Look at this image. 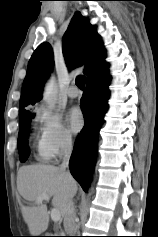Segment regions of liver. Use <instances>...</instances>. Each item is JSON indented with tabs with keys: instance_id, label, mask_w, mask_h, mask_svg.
Returning a JSON list of instances; mask_svg holds the SVG:
<instances>
[{
	"instance_id": "6515ba94",
	"label": "liver",
	"mask_w": 158,
	"mask_h": 237,
	"mask_svg": "<svg viewBox=\"0 0 158 237\" xmlns=\"http://www.w3.org/2000/svg\"><path fill=\"white\" fill-rule=\"evenodd\" d=\"M77 183L67 172L53 165L35 164L22 166L17 173V191L33 205L20 204L24 221L30 234H42L49 224L47 205L37 202V197L47 194L52 197L54 209L65 217L68 204L77 191Z\"/></svg>"
}]
</instances>
